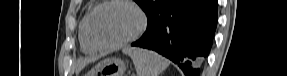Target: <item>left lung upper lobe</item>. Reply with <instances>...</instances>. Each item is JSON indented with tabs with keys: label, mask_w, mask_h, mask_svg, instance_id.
Returning <instances> with one entry per match:
<instances>
[{
	"label": "left lung upper lobe",
	"mask_w": 287,
	"mask_h": 76,
	"mask_svg": "<svg viewBox=\"0 0 287 76\" xmlns=\"http://www.w3.org/2000/svg\"><path fill=\"white\" fill-rule=\"evenodd\" d=\"M168 1L170 0H135V2L147 14V17L150 16L156 9L163 6Z\"/></svg>",
	"instance_id": "1"
}]
</instances>
